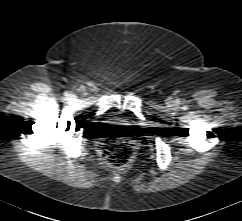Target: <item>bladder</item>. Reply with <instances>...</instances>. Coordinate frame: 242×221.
I'll return each mask as SVG.
<instances>
[{"instance_id": "bladder-1", "label": "bladder", "mask_w": 242, "mask_h": 221, "mask_svg": "<svg viewBox=\"0 0 242 221\" xmlns=\"http://www.w3.org/2000/svg\"><path fill=\"white\" fill-rule=\"evenodd\" d=\"M122 117H120V116H114L113 117V122L114 123H121V121H122Z\"/></svg>"}]
</instances>
